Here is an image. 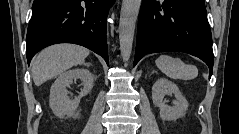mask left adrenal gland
I'll use <instances>...</instances> for the list:
<instances>
[{
  "mask_svg": "<svg viewBox=\"0 0 239 134\" xmlns=\"http://www.w3.org/2000/svg\"><path fill=\"white\" fill-rule=\"evenodd\" d=\"M156 71L155 70H152V74L155 73Z\"/></svg>",
  "mask_w": 239,
  "mask_h": 134,
  "instance_id": "left-adrenal-gland-1",
  "label": "left adrenal gland"
}]
</instances>
